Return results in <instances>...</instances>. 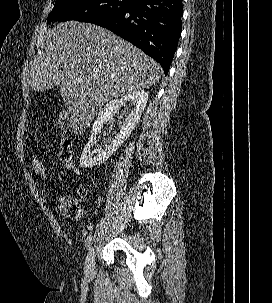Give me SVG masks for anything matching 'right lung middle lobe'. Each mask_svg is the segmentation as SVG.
I'll list each match as a JSON object with an SVG mask.
<instances>
[{
	"label": "right lung middle lobe",
	"instance_id": "dd1d6c3e",
	"mask_svg": "<svg viewBox=\"0 0 272 303\" xmlns=\"http://www.w3.org/2000/svg\"><path fill=\"white\" fill-rule=\"evenodd\" d=\"M134 0H56L48 15L53 21L76 20L92 23L127 10Z\"/></svg>",
	"mask_w": 272,
	"mask_h": 303
}]
</instances>
